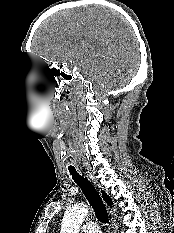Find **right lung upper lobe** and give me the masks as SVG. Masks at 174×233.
Wrapping results in <instances>:
<instances>
[{
    "instance_id": "cb5924a9",
    "label": "right lung upper lobe",
    "mask_w": 174,
    "mask_h": 233,
    "mask_svg": "<svg viewBox=\"0 0 174 233\" xmlns=\"http://www.w3.org/2000/svg\"><path fill=\"white\" fill-rule=\"evenodd\" d=\"M102 197L105 200V202L108 204V206H112L111 198L104 191H102Z\"/></svg>"
}]
</instances>
